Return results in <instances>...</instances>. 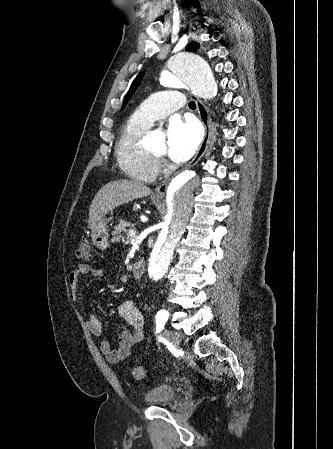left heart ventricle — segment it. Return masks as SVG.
<instances>
[{"instance_id":"1","label":"left heart ventricle","mask_w":333,"mask_h":449,"mask_svg":"<svg viewBox=\"0 0 333 449\" xmlns=\"http://www.w3.org/2000/svg\"><path fill=\"white\" fill-rule=\"evenodd\" d=\"M166 150H167V146H166V144H165V141L163 140V141L158 145V147L154 150V153H155V154H158V155H162V154H165V153H166Z\"/></svg>"}]
</instances>
